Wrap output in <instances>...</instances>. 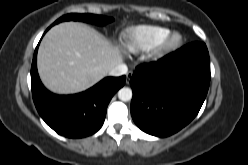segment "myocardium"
Instances as JSON below:
<instances>
[{
    "instance_id": "f54148a6",
    "label": "myocardium",
    "mask_w": 248,
    "mask_h": 165,
    "mask_svg": "<svg viewBox=\"0 0 248 165\" xmlns=\"http://www.w3.org/2000/svg\"><path fill=\"white\" fill-rule=\"evenodd\" d=\"M182 42V37L177 32H169L151 50V57L155 60L161 59L176 50Z\"/></svg>"
}]
</instances>
